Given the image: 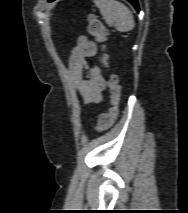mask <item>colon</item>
Returning <instances> with one entry per match:
<instances>
[{
	"label": "colon",
	"instance_id": "obj_1",
	"mask_svg": "<svg viewBox=\"0 0 188 213\" xmlns=\"http://www.w3.org/2000/svg\"><path fill=\"white\" fill-rule=\"evenodd\" d=\"M87 22L89 33L95 37L97 41L104 42L107 38V29L102 24V22L93 14L88 16ZM102 61L105 65L107 64V56L105 54L102 56ZM107 84L110 92L111 107L107 112L102 113L99 116L97 123V128L99 130L107 129L113 124L117 118L119 105L121 102L122 89L118 84L116 75L110 74L107 80Z\"/></svg>",
	"mask_w": 188,
	"mask_h": 213
}]
</instances>
